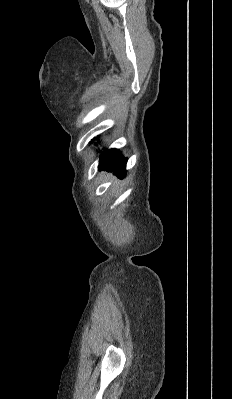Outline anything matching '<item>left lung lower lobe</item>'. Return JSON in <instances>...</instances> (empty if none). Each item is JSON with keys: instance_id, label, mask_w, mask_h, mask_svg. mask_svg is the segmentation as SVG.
<instances>
[{"instance_id": "obj_1", "label": "left lung lower lobe", "mask_w": 232, "mask_h": 399, "mask_svg": "<svg viewBox=\"0 0 232 399\" xmlns=\"http://www.w3.org/2000/svg\"><path fill=\"white\" fill-rule=\"evenodd\" d=\"M126 162L127 158H124L122 155H120L119 150H105L100 155L99 169L113 171L116 175H119L121 178H123L126 175Z\"/></svg>"}]
</instances>
